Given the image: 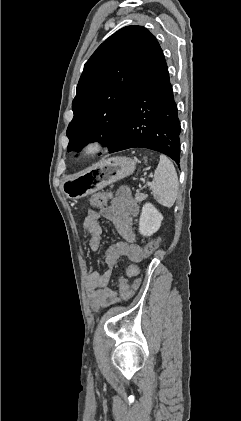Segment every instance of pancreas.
<instances>
[{"instance_id":"cf45deb5","label":"pancreas","mask_w":241,"mask_h":421,"mask_svg":"<svg viewBox=\"0 0 241 421\" xmlns=\"http://www.w3.org/2000/svg\"><path fill=\"white\" fill-rule=\"evenodd\" d=\"M146 198H147V195L146 194L137 193L135 195V201L136 202H141V201L145 200Z\"/></svg>"}]
</instances>
